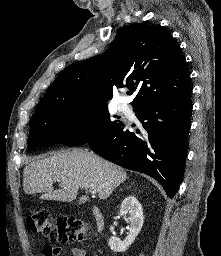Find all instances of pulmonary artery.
<instances>
[{"mask_svg":"<svg viewBox=\"0 0 221 256\" xmlns=\"http://www.w3.org/2000/svg\"><path fill=\"white\" fill-rule=\"evenodd\" d=\"M120 109L123 113H125L126 115H131L132 114V111L131 109L129 108V106H127L126 104H122L120 105Z\"/></svg>","mask_w":221,"mask_h":256,"instance_id":"pulmonary-artery-1","label":"pulmonary artery"}]
</instances>
